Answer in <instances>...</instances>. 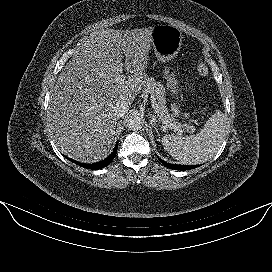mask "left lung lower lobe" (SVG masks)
Returning <instances> with one entry per match:
<instances>
[{"label": "left lung lower lobe", "instance_id": "left-lung-lower-lobe-1", "mask_svg": "<svg viewBox=\"0 0 272 272\" xmlns=\"http://www.w3.org/2000/svg\"><path fill=\"white\" fill-rule=\"evenodd\" d=\"M159 161L166 167L170 168V169H175V170H188V169H192V168H196L197 166H186V165H173V164H169L166 163L165 161L161 160L160 158H158Z\"/></svg>", "mask_w": 272, "mask_h": 272}]
</instances>
